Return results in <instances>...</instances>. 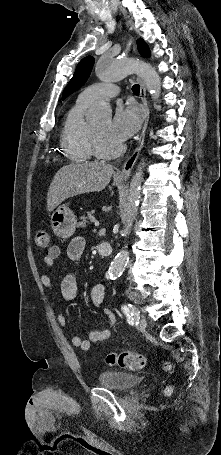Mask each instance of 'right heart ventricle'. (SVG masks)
I'll return each instance as SVG.
<instances>
[{"mask_svg":"<svg viewBox=\"0 0 221 455\" xmlns=\"http://www.w3.org/2000/svg\"><path fill=\"white\" fill-rule=\"evenodd\" d=\"M89 104L79 96L62 125L60 147L63 154L73 162H85L94 155L90 145L91 126L84 119Z\"/></svg>","mask_w":221,"mask_h":455,"instance_id":"1","label":"right heart ventricle"}]
</instances>
